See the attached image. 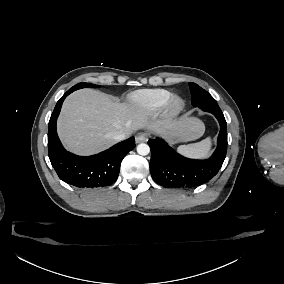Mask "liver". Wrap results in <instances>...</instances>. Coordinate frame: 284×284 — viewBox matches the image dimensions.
I'll return each instance as SVG.
<instances>
[{"label":"liver","instance_id":"6515ba94","mask_svg":"<svg viewBox=\"0 0 284 284\" xmlns=\"http://www.w3.org/2000/svg\"><path fill=\"white\" fill-rule=\"evenodd\" d=\"M145 118L137 107L118 104L99 91L84 89L74 92L64 102L58 131L67 148L92 153L115 143L114 136L118 133L130 135ZM152 128L158 129V125ZM169 129L182 130L186 141L199 139L205 131L200 121L187 118Z\"/></svg>","mask_w":284,"mask_h":284}]
</instances>
